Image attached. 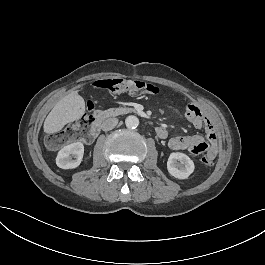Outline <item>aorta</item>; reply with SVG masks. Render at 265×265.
Segmentation results:
<instances>
[{
    "label": "aorta",
    "instance_id": "obj_1",
    "mask_svg": "<svg viewBox=\"0 0 265 265\" xmlns=\"http://www.w3.org/2000/svg\"><path fill=\"white\" fill-rule=\"evenodd\" d=\"M139 123L138 117L134 115L128 116L125 120L126 127L130 129H136L139 126Z\"/></svg>",
    "mask_w": 265,
    "mask_h": 265
}]
</instances>
